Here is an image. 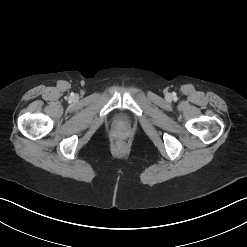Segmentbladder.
I'll list each match as a JSON object with an SVG mask.
<instances>
[{
  "mask_svg": "<svg viewBox=\"0 0 247 247\" xmlns=\"http://www.w3.org/2000/svg\"><path fill=\"white\" fill-rule=\"evenodd\" d=\"M116 122L118 125L123 126L127 123V118L125 116L120 115L116 118Z\"/></svg>",
  "mask_w": 247,
  "mask_h": 247,
  "instance_id": "obj_1",
  "label": "bladder"
}]
</instances>
